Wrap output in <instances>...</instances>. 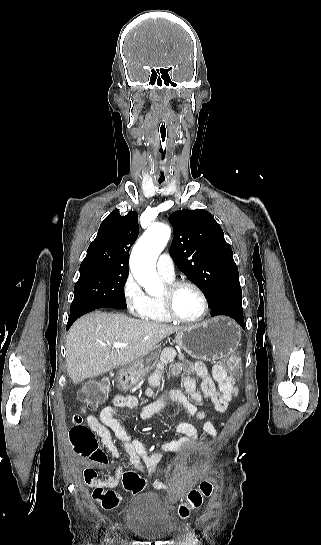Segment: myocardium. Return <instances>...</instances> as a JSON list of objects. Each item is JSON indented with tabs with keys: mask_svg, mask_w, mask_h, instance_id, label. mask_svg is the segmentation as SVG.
<instances>
[{
	"mask_svg": "<svg viewBox=\"0 0 321 545\" xmlns=\"http://www.w3.org/2000/svg\"><path fill=\"white\" fill-rule=\"evenodd\" d=\"M165 288L170 297L176 294L178 291H180L183 288H191L199 294L203 304V310L200 316H198L196 319H193V320H187L177 315V313L174 311L171 305L170 299L160 300L159 301L160 307L170 321H173L181 325L193 326V325L201 324L207 318L209 314V310H210V304H209L207 295L205 294L204 290L200 286H198L197 284L191 281H175V282L167 283Z\"/></svg>",
	"mask_w": 321,
	"mask_h": 545,
	"instance_id": "1",
	"label": "myocardium"
}]
</instances>
